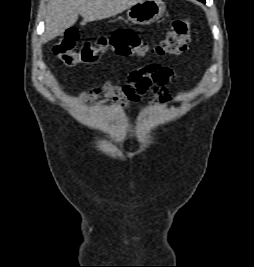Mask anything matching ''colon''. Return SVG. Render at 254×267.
I'll list each match as a JSON object with an SVG mask.
<instances>
[{
  "label": "colon",
  "instance_id": "colon-1",
  "mask_svg": "<svg viewBox=\"0 0 254 267\" xmlns=\"http://www.w3.org/2000/svg\"><path fill=\"white\" fill-rule=\"evenodd\" d=\"M190 26L187 18L174 20L163 39L155 45L143 42L132 32L118 31L110 37L100 38L93 43L84 42L78 46L77 30L68 29L54 46V52L67 67L92 64L108 51L122 56L178 55L186 50L191 40Z\"/></svg>",
  "mask_w": 254,
  "mask_h": 267
}]
</instances>
